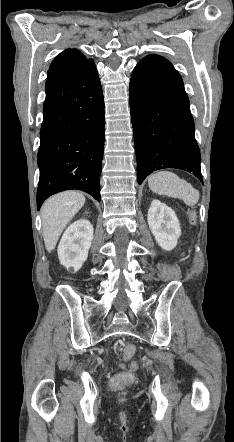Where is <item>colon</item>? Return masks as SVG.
<instances>
[{
    "mask_svg": "<svg viewBox=\"0 0 234 442\" xmlns=\"http://www.w3.org/2000/svg\"><path fill=\"white\" fill-rule=\"evenodd\" d=\"M190 218L192 222L196 221V214L195 212L190 213ZM186 266H189V263H186ZM136 353V347L133 344H127L124 348V357L126 359H130L134 356ZM124 366V365H122ZM136 363H132L131 370H134L136 368ZM137 376L132 375L131 372H125L118 374L116 377L113 378V380L110 381V388L111 389H127V387L130 384H136L137 383Z\"/></svg>",
    "mask_w": 234,
    "mask_h": 442,
    "instance_id": "1",
    "label": "colon"
}]
</instances>
